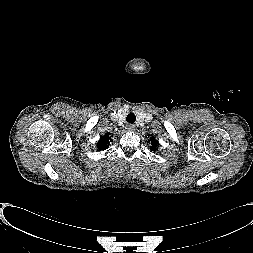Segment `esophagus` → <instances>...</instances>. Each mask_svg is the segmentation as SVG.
<instances>
[{"label":"esophagus","mask_w":253,"mask_h":253,"mask_svg":"<svg viewBox=\"0 0 253 253\" xmlns=\"http://www.w3.org/2000/svg\"><path fill=\"white\" fill-rule=\"evenodd\" d=\"M126 129L128 131H134L135 130V125L134 124H127L126 125Z\"/></svg>","instance_id":"34e87169"}]
</instances>
